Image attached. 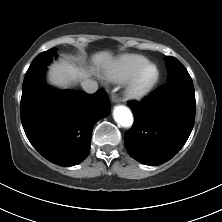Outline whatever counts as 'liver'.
Masks as SVG:
<instances>
[{
    "label": "liver",
    "mask_w": 222,
    "mask_h": 222,
    "mask_svg": "<svg viewBox=\"0 0 222 222\" xmlns=\"http://www.w3.org/2000/svg\"><path fill=\"white\" fill-rule=\"evenodd\" d=\"M94 64L90 69L76 67L66 61L54 63L48 73L50 84L66 88L71 81L86 80L99 68H109L113 62V56L108 51H101L92 56Z\"/></svg>",
    "instance_id": "1"
}]
</instances>
